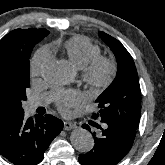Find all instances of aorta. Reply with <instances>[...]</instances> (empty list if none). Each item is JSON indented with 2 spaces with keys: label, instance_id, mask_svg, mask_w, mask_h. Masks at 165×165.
Instances as JSON below:
<instances>
[{
  "label": "aorta",
  "instance_id": "762f6f07",
  "mask_svg": "<svg viewBox=\"0 0 165 165\" xmlns=\"http://www.w3.org/2000/svg\"><path fill=\"white\" fill-rule=\"evenodd\" d=\"M66 66L62 61H51L43 69L44 78L52 84H63L66 81ZM72 146L79 152L90 151L94 146V140L89 131L76 128L70 135Z\"/></svg>",
  "mask_w": 165,
  "mask_h": 165
}]
</instances>
